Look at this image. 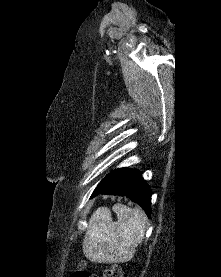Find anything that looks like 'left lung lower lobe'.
Masks as SVG:
<instances>
[{"mask_svg":"<svg viewBox=\"0 0 221 277\" xmlns=\"http://www.w3.org/2000/svg\"><path fill=\"white\" fill-rule=\"evenodd\" d=\"M141 174L138 170L123 168L116 175L102 180L91 197L99 194L126 196L139 204L150 217L151 191Z\"/></svg>","mask_w":221,"mask_h":277,"instance_id":"left-lung-lower-lobe-1","label":"left lung lower lobe"}]
</instances>
